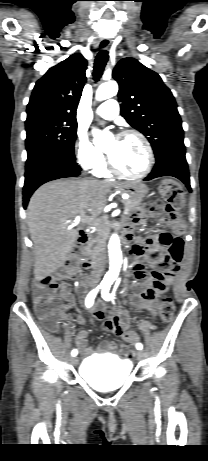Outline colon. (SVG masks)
Wrapping results in <instances>:
<instances>
[{"label":"colon","instance_id":"obj_1","mask_svg":"<svg viewBox=\"0 0 208 461\" xmlns=\"http://www.w3.org/2000/svg\"><path fill=\"white\" fill-rule=\"evenodd\" d=\"M182 189L173 180H164L157 192V199L145 209L151 214L166 213L170 219L179 218V206L181 204ZM149 248V245H147ZM69 263V262H68ZM58 284L52 277H46L33 284V303L35 310L44 326L50 332H56L59 325L58 311L60 300L56 295ZM174 302L170 297H164L159 305L158 314L163 323H170L174 316ZM134 340H125L120 349L125 353L124 357L131 360L134 357Z\"/></svg>","mask_w":208,"mask_h":461}]
</instances>
